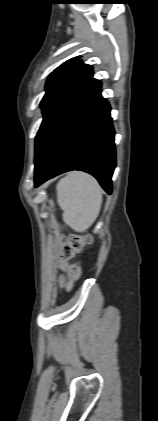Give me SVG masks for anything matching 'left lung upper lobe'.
<instances>
[{
	"label": "left lung upper lobe",
	"instance_id": "1",
	"mask_svg": "<svg viewBox=\"0 0 158 421\" xmlns=\"http://www.w3.org/2000/svg\"><path fill=\"white\" fill-rule=\"evenodd\" d=\"M92 76L91 65L74 58L62 63L50 74L45 87L46 93L41 101L44 116L36 144L57 113Z\"/></svg>",
	"mask_w": 158,
	"mask_h": 421
}]
</instances>
